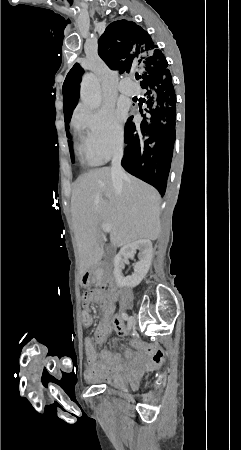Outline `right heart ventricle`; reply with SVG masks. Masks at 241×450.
<instances>
[{
	"instance_id": "e07e8e85",
	"label": "right heart ventricle",
	"mask_w": 241,
	"mask_h": 450,
	"mask_svg": "<svg viewBox=\"0 0 241 450\" xmlns=\"http://www.w3.org/2000/svg\"><path fill=\"white\" fill-rule=\"evenodd\" d=\"M80 116H90L88 114H82ZM75 138H76V148L78 154L82 158V160L92 166L99 165L102 163V160L98 159L96 155H84V130H75Z\"/></svg>"
}]
</instances>
